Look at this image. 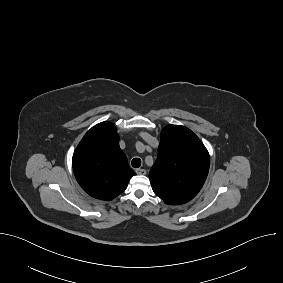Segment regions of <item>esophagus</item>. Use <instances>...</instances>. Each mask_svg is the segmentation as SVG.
<instances>
[{
	"instance_id": "1",
	"label": "esophagus",
	"mask_w": 283,
	"mask_h": 283,
	"mask_svg": "<svg viewBox=\"0 0 283 283\" xmlns=\"http://www.w3.org/2000/svg\"><path fill=\"white\" fill-rule=\"evenodd\" d=\"M135 172H136L138 175H145V174H146V170H145V169H142V168L136 169Z\"/></svg>"
}]
</instances>
